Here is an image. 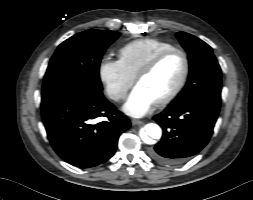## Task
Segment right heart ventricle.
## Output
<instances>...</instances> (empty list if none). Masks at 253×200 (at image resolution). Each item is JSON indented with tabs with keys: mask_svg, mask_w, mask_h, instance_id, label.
<instances>
[{
	"mask_svg": "<svg viewBox=\"0 0 253 200\" xmlns=\"http://www.w3.org/2000/svg\"><path fill=\"white\" fill-rule=\"evenodd\" d=\"M174 48L168 42L155 38H142L131 41L119 50V61L132 78L150 60L163 51Z\"/></svg>",
	"mask_w": 253,
	"mask_h": 200,
	"instance_id": "obj_1",
	"label": "right heart ventricle"
}]
</instances>
